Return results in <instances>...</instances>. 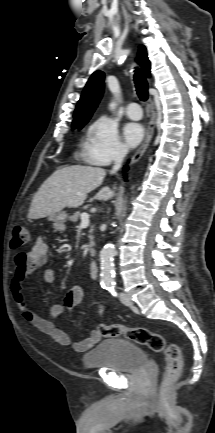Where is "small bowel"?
Segmentation results:
<instances>
[{
  "instance_id": "1",
  "label": "small bowel",
  "mask_w": 215,
  "mask_h": 433,
  "mask_svg": "<svg viewBox=\"0 0 215 433\" xmlns=\"http://www.w3.org/2000/svg\"><path fill=\"white\" fill-rule=\"evenodd\" d=\"M48 251V243L42 237H39L30 250L17 253L15 256V269L11 278L13 299L22 318L27 323L49 335L55 342L62 346H72L76 352H86L101 339V335L97 330L91 331L89 336L82 341L74 342L65 331L56 327L54 323L65 311L71 310L80 304L84 295V289L81 285L73 286L64 295L62 303L52 307L50 319L39 316L28 306L24 294V283L31 273L47 263ZM43 278L45 282L53 283L56 280V271L52 268L46 269ZM98 313L101 318L104 317V305L99 307Z\"/></svg>"
}]
</instances>
